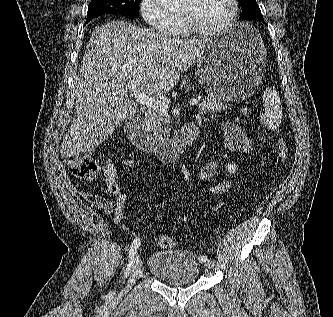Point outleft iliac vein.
Wrapping results in <instances>:
<instances>
[{
  "mask_svg": "<svg viewBox=\"0 0 333 317\" xmlns=\"http://www.w3.org/2000/svg\"><path fill=\"white\" fill-rule=\"evenodd\" d=\"M205 265L208 268H213L214 265H215V260L212 259V258H209V259L206 260Z\"/></svg>",
  "mask_w": 333,
  "mask_h": 317,
  "instance_id": "1",
  "label": "left iliac vein"
}]
</instances>
